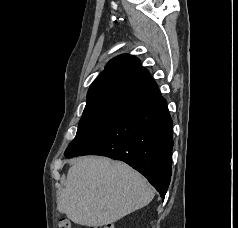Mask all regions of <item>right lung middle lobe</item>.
I'll list each match as a JSON object with an SVG mask.
<instances>
[{
	"mask_svg": "<svg viewBox=\"0 0 238 228\" xmlns=\"http://www.w3.org/2000/svg\"><path fill=\"white\" fill-rule=\"evenodd\" d=\"M120 116L119 114L83 113L77 134L64 154L77 150Z\"/></svg>",
	"mask_w": 238,
	"mask_h": 228,
	"instance_id": "1",
	"label": "right lung middle lobe"
}]
</instances>
